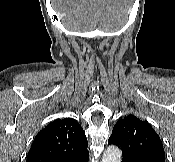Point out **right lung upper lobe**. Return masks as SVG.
<instances>
[{
    "label": "right lung upper lobe",
    "instance_id": "right-lung-upper-lobe-1",
    "mask_svg": "<svg viewBox=\"0 0 175 162\" xmlns=\"http://www.w3.org/2000/svg\"><path fill=\"white\" fill-rule=\"evenodd\" d=\"M87 138L72 118L56 119L35 137L27 162H83L89 156Z\"/></svg>",
    "mask_w": 175,
    "mask_h": 162
}]
</instances>
